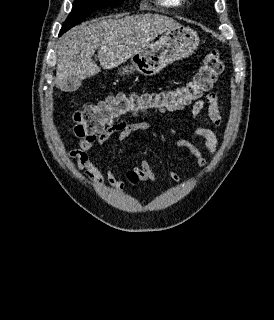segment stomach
I'll return each instance as SVG.
<instances>
[{
    "mask_svg": "<svg viewBox=\"0 0 274 320\" xmlns=\"http://www.w3.org/2000/svg\"><path fill=\"white\" fill-rule=\"evenodd\" d=\"M198 46L197 32L184 28V26H176V28L167 30L156 44H151L150 48L132 56V68L143 76H155L168 64L194 54Z\"/></svg>",
    "mask_w": 274,
    "mask_h": 320,
    "instance_id": "1",
    "label": "stomach"
}]
</instances>
